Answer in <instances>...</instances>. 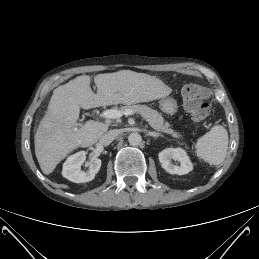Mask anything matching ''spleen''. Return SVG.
<instances>
[{"label": "spleen", "instance_id": "3e777b00", "mask_svg": "<svg viewBox=\"0 0 259 259\" xmlns=\"http://www.w3.org/2000/svg\"><path fill=\"white\" fill-rule=\"evenodd\" d=\"M196 154L210 165L221 164L228 150V132L222 125H215L200 137L195 145Z\"/></svg>", "mask_w": 259, "mask_h": 259}]
</instances>
